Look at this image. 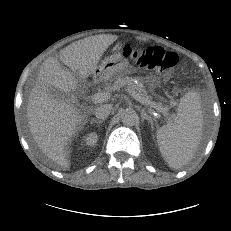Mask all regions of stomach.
Here are the masks:
<instances>
[{
	"label": "stomach",
	"mask_w": 231,
	"mask_h": 231,
	"mask_svg": "<svg viewBox=\"0 0 231 231\" xmlns=\"http://www.w3.org/2000/svg\"><path fill=\"white\" fill-rule=\"evenodd\" d=\"M131 66L127 58L121 54H114L105 58L96 69L94 76L102 80H109L116 78L120 75H125L131 72ZM144 82L149 85L150 88H154L159 82L155 76H148L144 79Z\"/></svg>",
	"instance_id": "stomach-1"
}]
</instances>
